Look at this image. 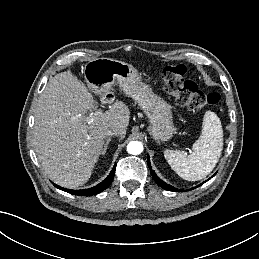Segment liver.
<instances>
[{
    "label": "liver",
    "instance_id": "liver-1",
    "mask_svg": "<svg viewBox=\"0 0 259 259\" xmlns=\"http://www.w3.org/2000/svg\"><path fill=\"white\" fill-rule=\"evenodd\" d=\"M97 109L93 95L71 71L55 75L37 101L33 140L39 162L56 184L76 188L91 177L105 147V132L119 128L125 137L130 111L121 101L100 114H85Z\"/></svg>",
    "mask_w": 259,
    "mask_h": 259
}]
</instances>
